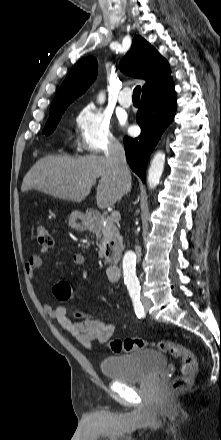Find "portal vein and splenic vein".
Returning <instances> with one entry per match:
<instances>
[{
  "label": "portal vein and splenic vein",
  "instance_id": "18ae733b",
  "mask_svg": "<svg viewBox=\"0 0 221 440\" xmlns=\"http://www.w3.org/2000/svg\"><path fill=\"white\" fill-rule=\"evenodd\" d=\"M109 218L113 222H118L120 220V213L118 211H112Z\"/></svg>",
  "mask_w": 221,
  "mask_h": 440
}]
</instances>
